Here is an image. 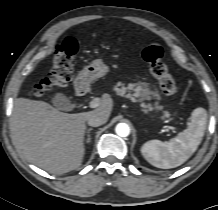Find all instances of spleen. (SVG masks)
Returning <instances> with one entry per match:
<instances>
[{"label":"spleen","mask_w":218,"mask_h":210,"mask_svg":"<svg viewBox=\"0 0 218 210\" xmlns=\"http://www.w3.org/2000/svg\"><path fill=\"white\" fill-rule=\"evenodd\" d=\"M207 124V113L204 108H196L191 113V121L184 131L169 142L151 140L146 142L141 152L153 166L171 169L187 161L197 150L202 141Z\"/></svg>","instance_id":"obj_1"}]
</instances>
